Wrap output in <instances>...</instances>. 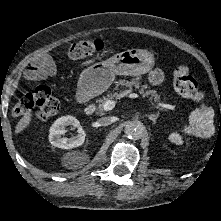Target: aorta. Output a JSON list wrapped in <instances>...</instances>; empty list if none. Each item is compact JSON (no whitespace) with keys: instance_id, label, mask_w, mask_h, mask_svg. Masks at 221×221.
Returning a JSON list of instances; mask_svg holds the SVG:
<instances>
[{"instance_id":"1","label":"aorta","mask_w":221,"mask_h":221,"mask_svg":"<svg viewBox=\"0 0 221 221\" xmlns=\"http://www.w3.org/2000/svg\"><path fill=\"white\" fill-rule=\"evenodd\" d=\"M144 131L145 127L140 121H127L125 123L124 132L130 139H140L143 136Z\"/></svg>"}]
</instances>
